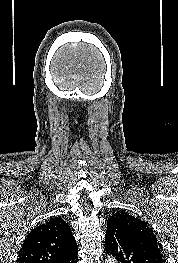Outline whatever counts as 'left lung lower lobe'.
<instances>
[{
  "label": "left lung lower lobe",
  "mask_w": 178,
  "mask_h": 263,
  "mask_svg": "<svg viewBox=\"0 0 178 263\" xmlns=\"http://www.w3.org/2000/svg\"><path fill=\"white\" fill-rule=\"evenodd\" d=\"M105 250L119 263H164L157 239L115 219L107 221Z\"/></svg>",
  "instance_id": "0a47b994"
}]
</instances>
